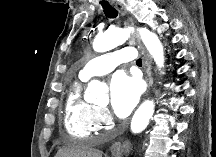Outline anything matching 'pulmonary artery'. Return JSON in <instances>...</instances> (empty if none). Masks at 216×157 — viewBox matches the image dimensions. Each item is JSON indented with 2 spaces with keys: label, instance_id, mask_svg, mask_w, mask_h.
<instances>
[{
  "label": "pulmonary artery",
  "instance_id": "pulmonary-artery-1",
  "mask_svg": "<svg viewBox=\"0 0 216 157\" xmlns=\"http://www.w3.org/2000/svg\"><path fill=\"white\" fill-rule=\"evenodd\" d=\"M137 53L132 47H125L111 53L103 54L91 59L80 71L79 77L82 80L97 75L107 74L113 71L123 62L136 59Z\"/></svg>",
  "mask_w": 216,
  "mask_h": 157
}]
</instances>
